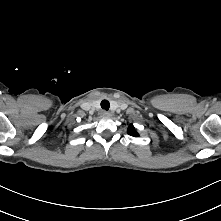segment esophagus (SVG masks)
<instances>
[{"instance_id": "obj_1", "label": "esophagus", "mask_w": 221, "mask_h": 221, "mask_svg": "<svg viewBox=\"0 0 221 221\" xmlns=\"http://www.w3.org/2000/svg\"><path fill=\"white\" fill-rule=\"evenodd\" d=\"M101 114H102L103 117H109L110 116V113L107 112V111H102Z\"/></svg>"}]
</instances>
